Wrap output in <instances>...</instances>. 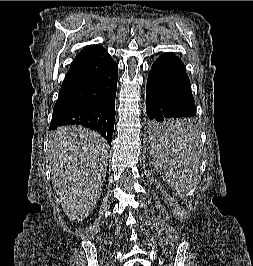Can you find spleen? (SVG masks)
<instances>
[{
  "label": "spleen",
  "mask_w": 253,
  "mask_h": 266,
  "mask_svg": "<svg viewBox=\"0 0 253 266\" xmlns=\"http://www.w3.org/2000/svg\"><path fill=\"white\" fill-rule=\"evenodd\" d=\"M171 122L153 124L155 141L150 142L149 153L158 173L165 174L171 186L184 196L198 180L197 166L193 165V130L191 123H181L180 117H173Z\"/></svg>",
  "instance_id": "spleen-1"
}]
</instances>
